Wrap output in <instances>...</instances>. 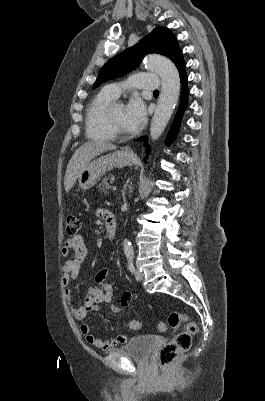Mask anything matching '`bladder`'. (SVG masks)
Listing matches in <instances>:
<instances>
[{
    "label": "bladder",
    "mask_w": 265,
    "mask_h": 401,
    "mask_svg": "<svg viewBox=\"0 0 265 401\" xmlns=\"http://www.w3.org/2000/svg\"><path fill=\"white\" fill-rule=\"evenodd\" d=\"M154 344V338L150 335L133 336L125 346L108 351H117L124 357L145 359L149 355Z\"/></svg>",
    "instance_id": "1"
}]
</instances>
